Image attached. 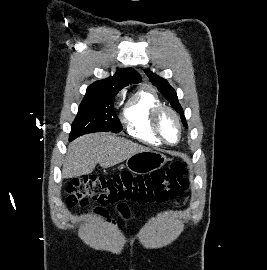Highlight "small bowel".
I'll return each mask as SVG.
<instances>
[{"instance_id":"1","label":"small bowel","mask_w":267,"mask_h":270,"mask_svg":"<svg viewBox=\"0 0 267 270\" xmlns=\"http://www.w3.org/2000/svg\"><path fill=\"white\" fill-rule=\"evenodd\" d=\"M118 211L120 212V214L125 217V218H128L130 216V211H129V208L126 204L124 203H120L118 205ZM95 213L100 216V217H107V213L101 209V208H98L95 210Z\"/></svg>"}]
</instances>
